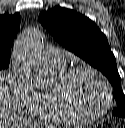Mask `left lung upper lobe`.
<instances>
[{
	"instance_id": "5c2ea615",
	"label": "left lung upper lobe",
	"mask_w": 125,
	"mask_h": 128,
	"mask_svg": "<svg viewBox=\"0 0 125 128\" xmlns=\"http://www.w3.org/2000/svg\"><path fill=\"white\" fill-rule=\"evenodd\" d=\"M39 21L63 47L100 70L109 79L118 103L112 114L125 118V95L116 59L106 36L96 24L74 10L59 6L43 11L39 15Z\"/></svg>"
}]
</instances>
